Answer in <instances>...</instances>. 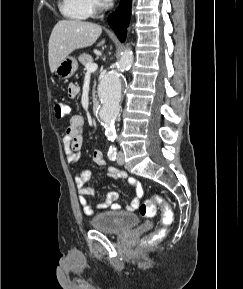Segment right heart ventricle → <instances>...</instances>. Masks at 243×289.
Listing matches in <instances>:
<instances>
[{
  "label": "right heart ventricle",
  "instance_id": "right-heart-ventricle-1",
  "mask_svg": "<svg viewBox=\"0 0 243 289\" xmlns=\"http://www.w3.org/2000/svg\"><path fill=\"white\" fill-rule=\"evenodd\" d=\"M59 9L63 16L73 20H85L92 14L86 0H60Z\"/></svg>",
  "mask_w": 243,
  "mask_h": 289
}]
</instances>
